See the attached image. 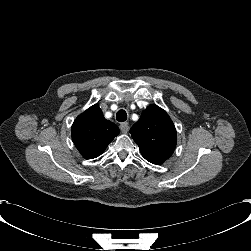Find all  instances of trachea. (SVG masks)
Wrapping results in <instances>:
<instances>
[{
	"mask_svg": "<svg viewBox=\"0 0 251 251\" xmlns=\"http://www.w3.org/2000/svg\"><path fill=\"white\" fill-rule=\"evenodd\" d=\"M116 119L118 122H125L127 120V113L125 110L120 109L117 113H116Z\"/></svg>",
	"mask_w": 251,
	"mask_h": 251,
	"instance_id": "obj_1",
	"label": "trachea"
}]
</instances>
